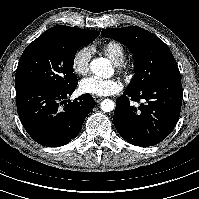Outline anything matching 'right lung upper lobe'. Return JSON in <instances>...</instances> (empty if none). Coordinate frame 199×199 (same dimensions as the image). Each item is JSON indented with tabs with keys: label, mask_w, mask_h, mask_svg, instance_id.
<instances>
[{
	"label": "right lung upper lobe",
	"mask_w": 199,
	"mask_h": 199,
	"mask_svg": "<svg viewBox=\"0 0 199 199\" xmlns=\"http://www.w3.org/2000/svg\"><path fill=\"white\" fill-rule=\"evenodd\" d=\"M45 33L53 34L61 37H73V36H87V37H98L99 31L80 29L75 27H69L64 25H58L48 29Z\"/></svg>",
	"instance_id": "1"
}]
</instances>
